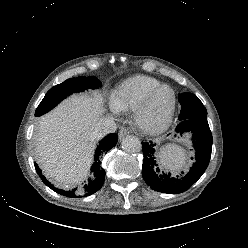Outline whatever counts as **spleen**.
<instances>
[{
    "label": "spleen",
    "instance_id": "3e777b00",
    "mask_svg": "<svg viewBox=\"0 0 248 248\" xmlns=\"http://www.w3.org/2000/svg\"><path fill=\"white\" fill-rule=\"evenodd\" d=\"M158 158L161 166L173 174L185 169L189 160L186 150L175 144L162 147Z\"/></svg>",
    "mask_w": 248,
    "mask_h": 248
}]
</instances>
